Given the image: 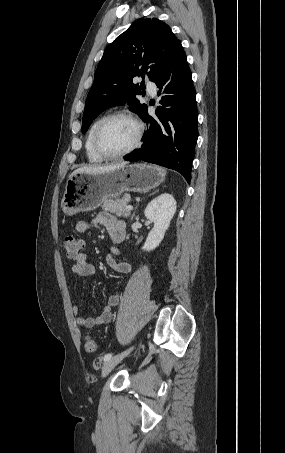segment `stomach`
<instances>
[{
	"instance_id": "obj_1",
	"label": "stomach",
	"mask_w": 285,
	"mask_h": 453,
	"mask_svg": "<svg viewBox=\"0 0 285 453\" xmlns=\"http://www.w3.org/2000/svg\"><path fill=\"white\" fill-rule=\"evenodd\" d=\"M165 175V169L142 163L98 174H76L66 183L61 208L67 216L92 211L108 198L154 189L164 181Z\"/></svg>"
}]
</instances>
